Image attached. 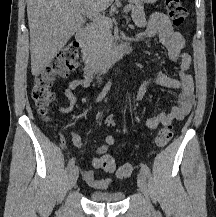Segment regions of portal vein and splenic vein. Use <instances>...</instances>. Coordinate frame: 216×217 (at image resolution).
Here are the masks:
<instances>
[{
	"label": "portal vein and splenic vein",
	"instance_id": "obj_1",
	"mask_svg": "<svg viewBox=\"0 0 216 217\" xmlns=\"http://www.w3.org/2000/svg\"><path fill=\"white\" fill-rule=\"evenodd\" d=\"M130 10H131V7L127 5L124 7L123 12H128ZM81 13L93 21H100L104 19V16L100 15L99 12H94L89 9H81Z\"/></svg>",
	"mask_w": 216,
	"mask_h": 217
}]
</instances>
